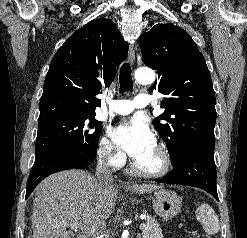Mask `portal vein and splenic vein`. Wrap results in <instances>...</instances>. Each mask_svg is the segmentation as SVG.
I'll use <instances>...</instances> for the list:
<instances>
[{"label": "portal vein and splenic vein", "mask_w": 247, "mask_h": 238, "mask_svg": "<svg viewBox=\"0 0 247 238\" xmlns=\"http://www.w3.org/2000/svg\"><path fill=\"white\" fill-rule=\"evenodd\" d=\"M145 227V223L140 224L139 228L142 230ZM71 228H75V229H84V225L82 223H77L73 226H71Z\"/></svg>", "instance_id": "portal-vein-and-splenic-vein-1"}]
</instances>
